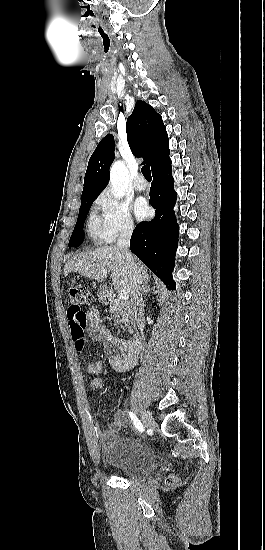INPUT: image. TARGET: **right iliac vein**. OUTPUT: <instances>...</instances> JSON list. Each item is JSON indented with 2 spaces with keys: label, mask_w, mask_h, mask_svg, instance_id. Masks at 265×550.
I'll return each mask as SVG.
<instances>
[{
  "label": "right iliac vein",
  "mask_w": 265,
  "mask_h": 550,
  "mask_svg": "<svg viewBox=\"0 0 265 550\" xmlns=\"http://www.w3.org/2000/svg\"><path fill=\"white\" fill-rule=\"evenodd\" d=\"M142 424L145 428L151 427L153 425V417L149 411H143L142 413Z\"/></svg>",
  "instance_id": "right-iliac-vein-1"
}]
</instances>
